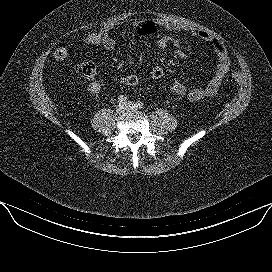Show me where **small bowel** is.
<instances>
[{
	"label": "small bowel",
	"instance_id": "small-bowel-1",
	"mask_svg": "<svg viewBox=\"0 0 272 272\" xmlns=\"http://www.w3.org/2000/svg\"><path fill=\"white\" fill-rule=\"evenodd\" d=\"M152 22L155 23V25L160 26L169 32H176V33L186 32L189 35L201 41H204L213 47V50L217 56V65L209 82L204 86H199V87H194L189 89L183 83L175 81L171 85L170 90L172 93L176 95L186 96L191 101H199L203 98L214 96L217 93L230 66L229 55L224 43L219 38L211 35L210 33L204 30L190 28L175 21L156 19L155 21H152ZM141 24L143 23L138 20H131L127 23H118V24L108 23L102 26L101 30L111 34L112 30L117 26L124 27V28H135ZM181 45H182L181 40L173 39L169 36H163L157 41V47L159 50L166 51L168 48L173 46L175 47V50L173 51L175 56H177L178 58L182 60H187L189 56L184 50L181 49ZM141 60H142V56L141 55L137 56L134 64H139Z\"/></svg>",
	"mask_w": 272,
	"mask_h": 272
}]
</instances>
